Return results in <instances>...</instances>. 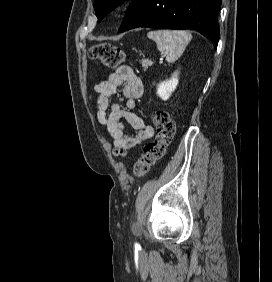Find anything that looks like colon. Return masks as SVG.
<instances>
[{
	"label": "colon",
	"mask_w": 272,
	"mask_h": 282,
	"mask_svg": "<svg viewBox=\"0 0 272 282\" xmlns=\"http://www.w3.org/2000/svg\"><path fill=\"white\" fill-rule=\"evenodd\" d=\"M89 56L107 67H117L125 61L123 50L108 43L94 45ZM152 121L157 135L152 142L145 145L143 154L133 165V172L137 176L148 173L164 157L175 136V124L168 113L157 112L152 116Z\"/></svg>",
	"instance_id": "5ec220e1"
}]
</instances>
